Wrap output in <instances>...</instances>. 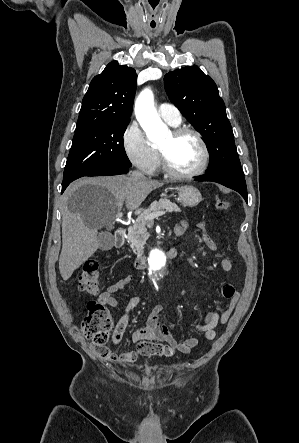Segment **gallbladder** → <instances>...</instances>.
Wrapping results in <instances>:
<instances>
[{
	"instance_id": "obj_1",
	"label": "gallbladder",
	"mask_w": 299,
	"mask_h": 443,
	"mask_svg": "<svg viewBox=\"0 0 299 443\" xmlns=\"http://www.w3.org/2000/svg\"><path fill=\"white\" fill-rule=\"evenodd\" d=\"M98 243L100 250L107 251L112 248L114 244V237L108 231L101 232L98 235Z\"/></svg>"
}]
</instances>
